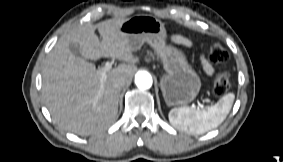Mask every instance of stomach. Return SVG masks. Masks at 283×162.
I'll return each instance as SVG.
<instances>
[{"label":"stomach","mask_w":283,"mask_h":162,"mask_svg":"<svg viewBox=\"0 0 283 162\" xmlns=\"http://www.w3.org/2000/svg\"><path fill=\"white\" fill-rule=\"evenodd\" d=\"M135 50L147 42L163 63L165 74L160 88L168 106L186 105L192 102L201 88L197 73L189 64L184 52L167 45L164 24L151 15H136L126 19L118 28Z\"/></svg>","instance_id":"stomach-1"}]
</instances>
